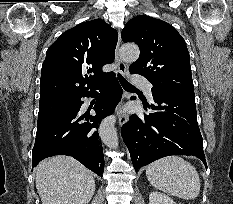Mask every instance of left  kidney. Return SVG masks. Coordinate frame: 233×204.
<instances>
[{
    "label": "left kidney",
    "mask_w": 233,
    "mask_h": 204,
    "mask_svg": "<svg viewBox=\"0 0 233 204\" xmlns=\"http://www.w3.org/2000/svg\"><path fill=\"white\" fill-rule=\"evenodd\" d=\"M149 204H176L168 195L157 191L149 195Z\"/></svg>",
    "instance_id": "1"
}]
</instances>
